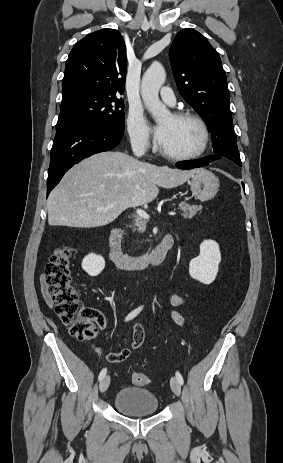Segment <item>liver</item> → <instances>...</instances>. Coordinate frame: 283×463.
<instances>
[{
	"label": "liver",
	"instance_id": "6515ba94",
	"mask_svg": "<svg viewBox=\"0 0 283 463\" xmlns=\"http://www.w3.org/2000/svg\"><path fill=\"white\" fill-rule=\"evenodd\" d=\"M199 169L156 166L108 151L71 168L47 200L50 226L93 228L114 221L125 209L153 201L158 187L174 188Z\"/></svg>",
	"mask_w": 283,
	"mask_h": 463
}]
</instances>
